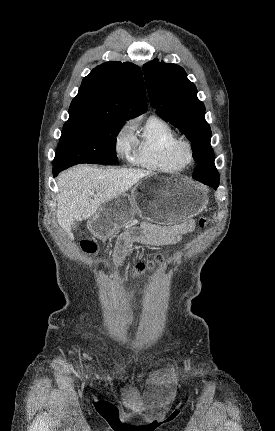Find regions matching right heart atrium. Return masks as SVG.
<instances>
[{
	"label": "right heart atrium",
	"mask_w": 275,
	"mask_h": 431,
	"mask_svg": "<svg viewBox=\"0 0 275 431\" xmlns=\"http://www.w3.org/2000/svg\"><path fill=\"white\" fill-rule=\"evenodd\" d=\"M135 143L133 129L130 124L125 125L116 137V149L120 154H127Z\"/></svg>",
	"instance_id": "right-heart-atrium-1"
}]
</instances>
